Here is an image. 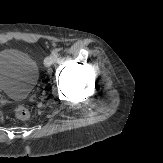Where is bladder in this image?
<instances>
[{
  "label": "bladder",
  "mask_w": 163,
  "mask_h": 163,
  "mask_svg": "<svg viewBox=\"0 0 163 163\" xmlns=\"http://www.w3.org/2000/svg\"><path fill=\"white\" fill-rule=\"evenodd\" d=\"M39 77L37 62L18 49L0 51V92L21 100L34 89Z\"/></svg>",
  "instance_id": "bladder-1"
}]
</instances>
